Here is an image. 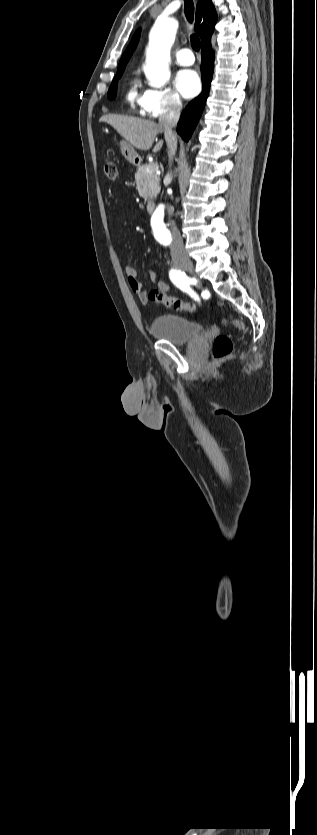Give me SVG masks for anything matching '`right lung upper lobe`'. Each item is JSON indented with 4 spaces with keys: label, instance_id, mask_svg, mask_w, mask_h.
<instances>
[{
    "label": "right lung upper lobe",
    "instance_id": "cb5924a9",
    "mask_svg": "<svg viewBox=\"0 0 317 835\" xmlns=\"http://www.w3.org/2000/svg\"><path fill=\"white\" fill-rule=\"evenodd\" d=\"M217 13L211 0H199L196 6L195 29L200 35L202 43L211 38L214 26L217 22ZM141 30L138 29L132 37L130 44L121 57L119 66L127 64L132 56L140 38ZM118 66V67H119Z\"/></svg>",
    "mask_w": 317,
    "mask_h": 835
}]
</instances>
